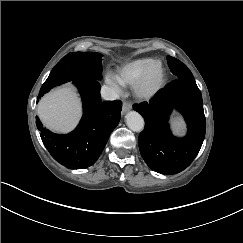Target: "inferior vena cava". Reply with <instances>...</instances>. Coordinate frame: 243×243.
Wrapping results in <instances>:
<instances>
[{"instance_id": "1", "label": "inferior vena cava", "mask_w": 243, "mask_h": 243, "mask_svg": "<svg viewBox=\"0 0 243 243\" xmlns=\"http://www.w3.org/2000/svg\"><path fill=\"white\" fill-rule=\"evenodd\" d=\"M101 96L105 100H115V99L119 98V96L116 93V91L113 88L108 87L106 85L102 86V88H101Z\"/></svg>"}]
</instances>
